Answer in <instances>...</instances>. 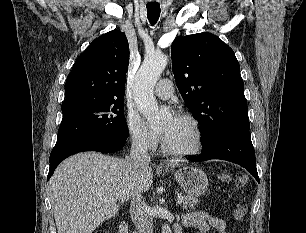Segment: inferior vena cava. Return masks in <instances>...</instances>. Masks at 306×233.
I'll use <instances>...</instances> for the list:
<instances>
[{"label":"inferior vena cava","instance_id":"inferior-vena-cava-1","mask_svg":"<svg viewBox=\"0 0 306 233\" xmlns=\"http://www.w3.org/2000/svg\"><path fill=\"white\" fill-rule=\"evenodd\" d=\"M129 160L136 168L149 164L150 156L145 139L136 138L132 141ZM130 215L138 233H153V220L140 192L131 199Z\"/></svg>","mask_w":306,"mask_h":233}]
</instances>
